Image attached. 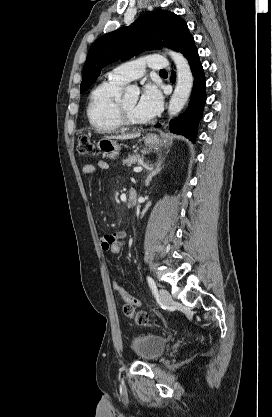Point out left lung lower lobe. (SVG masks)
Instances as JSON below:
<instances>
[{
    "instance_id": "1",
    "label": "left lung lower lobe",
    "mask_w": 272,
    "mask_h": 417,
    "mask_svg": "<svg viewBox=\"0 0 272 417\" xmlns=\"http://www.w3.org/2000/svg\"><path fill=\"white\" fill-rule=\"evenodd\" d=\"M190 64L193 76L194 85L191 95V100L186 112L179 118H175L171 122L170 130L174 133L181 134L187 137L189 140L195 142L197 133V126L201 119L203 107L206 100L205 92V77L202 64L199 60L198 50L194 47L186 56ZM171 82H175L174 72L171 77ZM160 124L155 125L156 128L160 127Z\"/></svg>"
}]
</instances>
